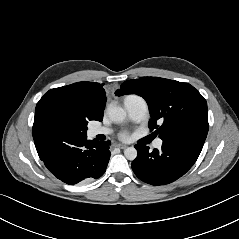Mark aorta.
Instances as JSON below:
<instances>
[{"label":"aorta","mask_w":239,"mask_h":239,"mask_svg":"<svg viewBox=\"0 0 239 239\" xmlns=\"http://www.w3.org/2000/svg\"><path fill=\"white\" fill-rule=\"evenodd\" d=\"M108 115L112 121L119 123L125 120L126 111L119 106H110ZM124 155L128 160L133 161L137 157V150L134 147H128L125 149Z\"/></svg>","instance_id":"obj_1"}]
</instances>
